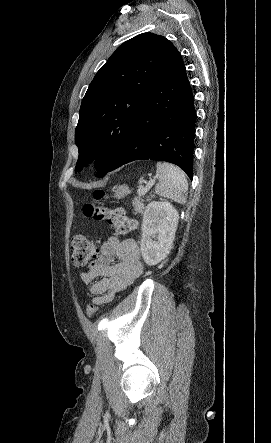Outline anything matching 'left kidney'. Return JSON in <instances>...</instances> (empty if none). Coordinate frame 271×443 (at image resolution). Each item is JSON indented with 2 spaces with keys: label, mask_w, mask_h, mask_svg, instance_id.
<instances>
[{
  "label": "left kidney",
  "mask_w": 271,
  "mask_h": 443,
  "mask_svg": "<svg viewBox=\"0 0 271 443\" xmlns=\"http://www.w3.org/2000/svg\"><path fill=\"white\" fill-rule=\"evenodd\" d=\"M179 214L169 202H150L142 223L141 253L145 263L156 265L172 249Z\"/></svg>",
  "instance_id": "obj_1"
}]
</instances>
